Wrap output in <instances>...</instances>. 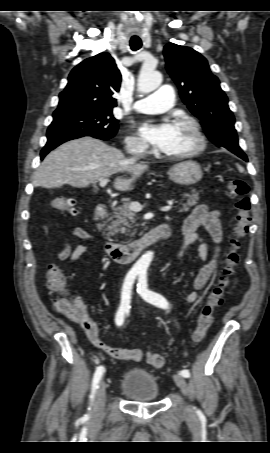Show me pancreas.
I'll return each instance as SVG.
<instances>
[{
    "instance_id": "obj_1",
    "label": "pancreas",
    "mask_w": 270,
    "mask_h": 453,
    "mask_svg": "<svg viewBox=\"0 0 270 453\" xmlns=\"http://www.w3.org/2000/svg\"><path fill=\"white\" fill-rule=\"evenodd\" d=\"M182 197L186 198L187 201L181 203V211H188L191 206H195L199 201V196L195 191L184 193ZM135 216V213L129 209L128 204L114 208L111 224L106 228V231H108L106 237L109 241H112L111 236L118 233L134 236L135 231H132V228L136 222Z\"/></svg>"
}]
</instances>
